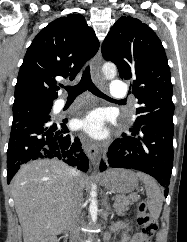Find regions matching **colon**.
Returning <instances> with one entry per match:
<instances>
[{
    "mask_svg": "<svg viewBox=\"0 0 187 242\" xmlns=\"http://www.w3.org/2000/svg\"><path fill=\"white\" fill-rule=\"evenodd\" d=\"M137 222L141 226L138 242H150L158 224L156 219L148 213L144 201H140L137 205Z\"/></svg>",
    "mask_w": 187,
    "mask_h": 242,
    "instance_id": "colon-1",
    "label": "colon"
}]
</instances>
